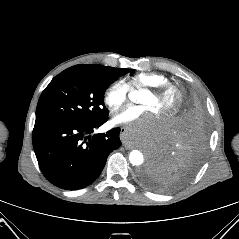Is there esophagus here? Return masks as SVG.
Wrapping results in <instances>:
<instances>
[{
    "label": "esophagus",
    "instance_id": "esophagus-1",
    "mask_svg": "<svg viewBox=\"0 0 239 239\" xmlns=\"http://www.w3.org/2000/svg\"><path fill=\"white\" fill-rule=\"evenodd\" d=\"M127 131V129L125 127L121 128V138L123 140V144L127 149H132L133 147L131 145L128 144V142L124 139L125 136V132Z\"/></svg>",
    "mask_w": 239,
    "mask_h": 239
}]
</instances>
